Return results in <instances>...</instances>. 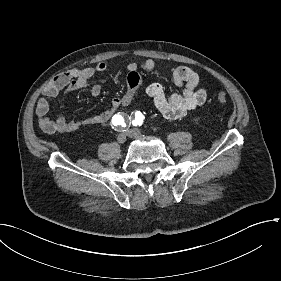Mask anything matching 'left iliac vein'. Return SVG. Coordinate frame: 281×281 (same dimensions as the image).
Segmentation results:
<instances>
[{"mask_svg":"<svg viewBox=\"0 0 281 281\" xmlns=\"http://www.w3.org/2000/svg\"><path fill=\"white\" fill-rule=\"evenodd\" d=\"M127 135L130 138H138V137L142 136V132L138 129H130V130L127 131Z\"/></svg>","mask_w":281,"mask_h":281,"instance_id":"left-iliac-vein-1","label":"left iliac vein"}]
</instances>
